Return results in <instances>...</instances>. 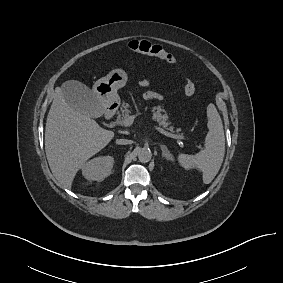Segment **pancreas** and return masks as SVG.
I'll return each instance as SVG.
<instances>
[{
  "mask_svg": "<svg viewBox=\"0 0 283 283\" xmlns=\"http://www.w3.org/2000/svg\"><path fill=\"white\" fill-rule=\"evenodd\" d=\"M121 109V113L118 114L117 116V120L116 122L118 124H122V122L130 115L131 110H130V106L128 103H123ZM163 111V109L161 108V106H157V107H153L152 109V113L153 116L152 118L158 122L159 126L171 130L173 131V127L169 126L170 122L168 120V115L165 114H161V112Z\"/></svg>",
  "mask_w": 283,
  "mask_h": 283,
  "instance_id": "obj_1",
  "label": "pancreas"
}]
</instances>
